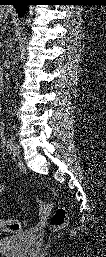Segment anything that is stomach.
<instances>
[{"label": "stomach", "mask_w": 106, "mask_h": 257, "mask_svg": "<svg viewBox=\"0 0 106 257\" xmlns=\"http://www.w3.org/2000/svg\"><path fill=\"white\" fill-rule=\"evenodd\" d=\"M7 16H8V12L7 11H2L1 12V19H5V18H7Z\"/></svg>", "instance_id": "stomach-1"}]
</instances>
